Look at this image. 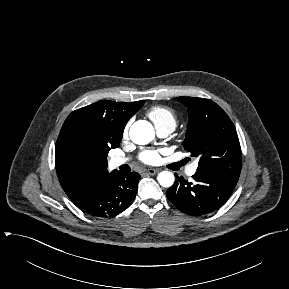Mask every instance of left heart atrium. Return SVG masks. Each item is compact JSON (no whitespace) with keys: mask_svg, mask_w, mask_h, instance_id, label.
Returning a JSON list of instances; mask_svg holds the SVG:
<instances>
[{"mask_svg":"<svg viewBox=\"0 0 289 289\" xmlns=\"http://www.w3.org/2000/svg\"><path fill=\"white\" fill-rule=\"evenodd\" d=\"M166 150H145L140 154V160L148 165H155L161 161V155Z\"/></svg>","mask_w":289,"mask_h":289,"instance_id":"obj_1","label":"left heart atrium"}]
</instances>
